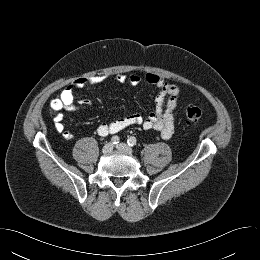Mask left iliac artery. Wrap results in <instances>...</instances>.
<instances>
[{
    "instance_id": "44dca946",
    "label": "left iliac artery",
    "mask_w": 260,
    "mask_h": 260,
    "mask_svg": "<svg viewBox=\"0 0 260 260\" xmlns=\"http://www.w3.org/2000/svg\"><path fill=\"white\" fill-rule=\"evenodd\" d=\"M127 143L129 146L133 147L136 145V138L135 137H130L128 140H127Z\"/></svg>"
}]
</instances>
